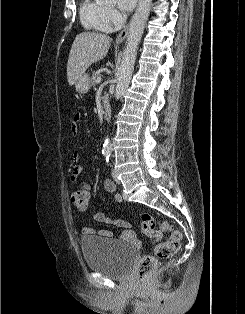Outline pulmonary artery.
Here are the masks:
<instances>
[{
  "label": "pulmonary artery",
  "mask_w": 245,
  "mask_h": 314,
  "mask_svg": "<svg viewBox=\"0 0 245 314\" xmlns=\"http://www.w3.org/2000/svg\"><path fill=\"white\" fill-rule=\"evenodd\" d=\"M113 31V29H109V31H107V32H112Z\"/></svg>",
  "instance_id": "e3ab8cb5"
}]
</instances>
